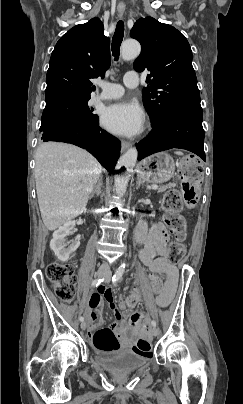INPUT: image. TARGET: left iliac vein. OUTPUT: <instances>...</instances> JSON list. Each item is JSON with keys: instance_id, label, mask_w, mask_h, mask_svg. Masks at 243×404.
<instances>
[{"instance_id": "left-iliac-vein-1", "label": "left iliac vein", "mask_w": 243, "mask_h": 404, "mask_svg": "<svg viewBox=\"0 0 243 404\" xmlns=\"http://www.w3.org/2000/svg\"><path fill=\"white\" fill-rule=\"evenodd\" d=\"M110 275H111L110 273H107V274H106V282L109 281ZM151 332H152V335H153V336H158V334H159V330H158V328H156V327H153V328L151 329Z\"/></svg>"}]
</instances>
